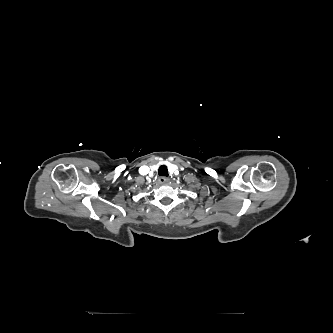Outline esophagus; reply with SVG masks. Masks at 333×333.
<instances>
[{"instance_id": "esophagus-1", "label": "esophagus", "mask_w": 333, "mask_h": 333, "mask_svg": "<svg viewBox=\"0 0 333 333\" xmlns=\"http://www.w3.org/2000/svg\"><path fill=\"white\" fill-rule=\"evenodd\" d=\"M158 182L160 184H167L169 182V178H167L165 176H161V177H159Z\"/></svg>"}]
</instances>
